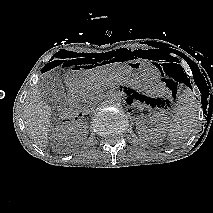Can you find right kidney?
Segmentation results:
<instances>
[{
  "instance_id": "1",
  "label": "right kidney",
  "mask_w": 213,
  "mask_h": 213,
  "mask_svg": "<svg viewBox=\"0 0 213 213\" xmlns=\"http://www.w3.org/2000/svg\"><path fill=\"white\" fill-rule=\"evenodd\" d=\"M86 128H87V126L85 124H82L79 127V130H80L79 133H81L82 137H84V138L86 137V134H87Z\"/></svg>"
}]
</instances>
